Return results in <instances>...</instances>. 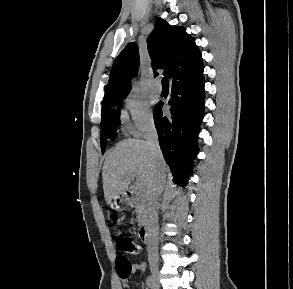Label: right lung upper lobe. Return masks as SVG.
<instances>
[{"mask_svg": "<svg viewBox=\"0 0 293 289\" xmlns=\"http://www.w3.org/2000/svg\"><path fill=\"white\" fill-rule=\"evenodd\" d=\"M152 68L164 69V75L172 85L189 82L204 70L202 56L194 38L186 29L171 26L159 18L147 39ZM139 66V52L135 43H129L113 63L103 103L118 96H126L130 91V79ZM157 75V73H155Z\"/></svg>", "mask_w": 293, "mask_h": 289, "instance_id": "right-lung-upper-lobe-1", "label": "right lung upper lobe"}]
</instances>
